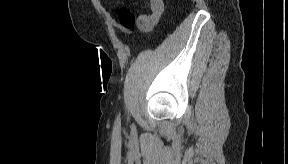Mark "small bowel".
Returning <instances> with one entry per match:
<instances>
[{
  "label": "small bowel",
  "mask_w": 288,
  "mask_h": 164,
  "mask_svg": "<svg viewBox=\"0 0 288 164\" xmlns=\"http://www.w3.org/2000/svg\"><path fill=\"white\" fill-rule=\"evenodd\" d=\"M151 13L148 15H141L142 17L148 20V24L142 27L143 30H150L159 20L163 11L164 4L160 0H152L151 1Z\"/></svg>",
  "instance_id": "small-bowel-1"
}]
</instances>
